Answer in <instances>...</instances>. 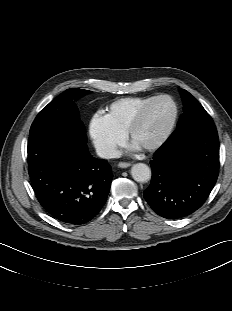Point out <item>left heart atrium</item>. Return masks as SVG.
<instances>
[{"label":"left heart atrium","mask_w":232,"mask_h":311,"mask_svg":"<svg viewBox=\"0 0 232 311\" xmlns=\"http://www.w3.org/2000/svg\"><path fill=\"white\" fill-rule=\"evenodd\" d=\"M131 149H132V150H137V149H139V148H138L137 146H135V145L132 144V145H131Z\"/></svg>","instance_id":"left-heart-atrium-1"}]
</instances>
